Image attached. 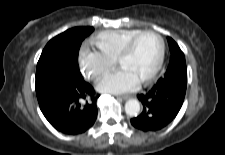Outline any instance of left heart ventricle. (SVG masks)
Returning a JSON list of instances; mask_svg holds the SVG:
<instances>
[{
	"instance_id": "obj_1",
	"label": "left heart ventricle",
	"mask_w": 225,
	"mask_h": 155,
	"mask_svg": "<svg viewBox=\"0 0 225 155\" xmlns=\"http://www.w3.org/2000/svg\"><path fill=\"white\" fill-rule=\"evenodd\" d=\"M159 51L158 38L146 34L136 42L132 52L120 62V66L130 70L142 81L155 67Z\"/></svg>"
}]
</instances>
